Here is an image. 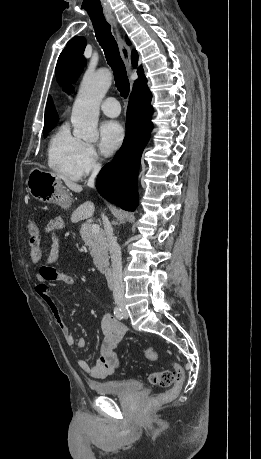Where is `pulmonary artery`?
Segmentation results:
<instances>
[{
    "label": "pulmonary artery",
    "mask_w": 261,
    "mask_h": 459,
    "mask_svg": "<svg viewBox=\"0 0 261 459\" xmlns=\"http://www.w3.org/2000/svg\"><path fill=\"white\" fill-rule=\"evenodd\" d=\"M102 112L109 117H117L120 114V104L114 97H108L101 103Z\"/></svg>",
    "instance_id": "e3ab8cb5"
}]
</instances>
